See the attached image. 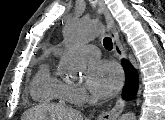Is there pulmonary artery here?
Here are the masks:
<instances>
[{
  "instance_id": "1",
  "label": "pulmonary artery",
  "mask_w": 165,
  "mask_h": 120,
  "mask_svg": "<svg viewBox=\"0 0 165 120\" xmlns=\"http://www.w3.org/2000/svg\"><path fill=\"white\" fill-rule=\"evenodd\" d=\"M81 51L87 58L94 59L100 56V50L94 45L83 46Z\"/></svg>"
}]
</instances>
